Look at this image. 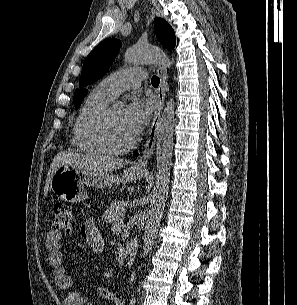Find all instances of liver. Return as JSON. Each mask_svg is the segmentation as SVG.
Listing matches in <instances>:
<instances>
[{"instance_id": "obj_1", "label": "liver", "mask_w": 297, "mask_h": 305, "mask_svg": "<svg viewBox=\"0 0 297 305\" xmlns=\"http://www.w3.org/2000/svg\"><path fill=\"white\" fill-rule=\"evenodd\" d=\"M126 163L127 162L122 159L92 156L88 154H77L71 152H60L54 157L50 166L44 188V197L47 196L48 186L50 185L52 175L61 165H70L77 168H87L112 172L114 170L123 168Z\"/></svg>"}]
</instances>
